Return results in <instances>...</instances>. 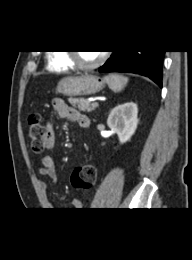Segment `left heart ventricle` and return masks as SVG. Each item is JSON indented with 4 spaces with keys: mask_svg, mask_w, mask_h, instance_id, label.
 I'll use <instances>...</instances> for the list:
<instances>
[{
    "mask_svg": "<svg viewBox=\"0 0 192 260\" xmlns=\"http://www.w3.org/2000/svg\"><path fill=\"white\" fill-rule=\"evenodd\" d=\"M101 52L97 51H81L78 53L80 61L84 64H91L99 59Z\"/></svg>",
    "mask_w": 192,
    "mask_h": 260,
    "instance_id": "1",
    "label": "left heart ventricle"
}]
</instances>
